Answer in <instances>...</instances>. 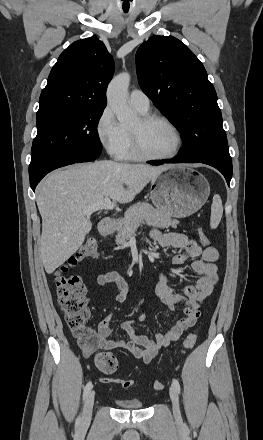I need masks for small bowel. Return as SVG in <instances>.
Instances as JSON below:
<instances>
[{
	"instance_id": "c3829d8e",
	"label": "small bowel",
	"mask_w": 263,
	"mask_h": 440,
	"mask_svg": "<svg viewBox=\"0 0 263 440\" xmlns=\"http://www.w3.org/2000/svg\"><path fill=\"white\" fill-rule=\"evenodd\" d=\"M150 238L161 247L180 248L182 252L173 258V264L179 266L185 261H191L192 270L200 275L194 285L185 286L181 292L170 285L165 274L160 273L158 276L155 291L156 298L171 310L183 305L182 317L165 333H157L154 338L137 333L134 328V320L129 319L122 323V328L129 339L112 340L110 339V323L116 315L109 314L98 323L95 331L97 340L89 353L98 349L120 348L129 351L136 359L149 363L163 347L178 340L183 332L194 326L200 317L201 305L210 295L217 282V267L215 265V261L219 256L217 249L211 246L202 249L185 234L163 233L159 229L151 230ZM94 282L99 286L115 285L118 288L116 301L124 303L127 300L129 284L119 272L107 271L98 274L95 276ZM138 320L145 322L146 311L139 315Z\"/></svg>"
}]
</instances>
